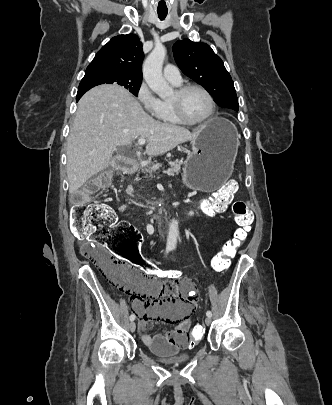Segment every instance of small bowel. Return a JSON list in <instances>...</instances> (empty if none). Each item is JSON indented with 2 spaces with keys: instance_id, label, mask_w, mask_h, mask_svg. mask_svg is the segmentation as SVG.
Returning <instances> with one entry per match:
<instances>
[{
  "instance_id": "small-bowel-1",
  "label": "small bowel",
  "mask_w": 332,
  "mask_h": 405,
  "mask_svg": "<svg viewBox=\"0 0 332 405\" xmlns=\"http://www.w3.org/2000/svg\"><path fill=\"white\" fill-rule=\"evenodd\" d=\"M88 184H93V179H88ZM172 280L163 284L143 277L131 267H123L121 287L135 295L132 308L140 318L141 339L149 349H155L156 353H189L186 347L189 338L180 337H185L190 331L192 323L189 315L199 306L200 300L194 297L190 281L183 278ZM157 319L167 321L168 330L150 336L147 331Z\"/></svg>"
}]
</instances>
